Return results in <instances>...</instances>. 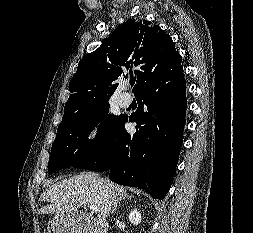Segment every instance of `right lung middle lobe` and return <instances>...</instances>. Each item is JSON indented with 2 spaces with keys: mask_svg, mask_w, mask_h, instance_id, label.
Masks as SVG:
<instances>
[{
  "mask_svg": "<svg viewBox=\"0 0 253 233\" xmlns=\"http://www.w3.org/2000/svg\"><path fill=\"white\" fill-rule=\"evenodd\" d=\"M109 102H102L62 119L52 145L48 163L49 174L90 159L107 145L121 116L108 114ZM98 126L95 139L91 131Z\"/></svg>",
  "mask_w": 253,
  "mask_h": 233,
  "instance_id": "dd1d6c3e",
  "label": "right lung middle lobe"
}]
</instances>
